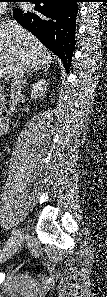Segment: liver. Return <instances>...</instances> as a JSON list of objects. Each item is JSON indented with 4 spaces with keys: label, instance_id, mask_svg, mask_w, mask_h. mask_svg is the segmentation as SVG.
Segmentation results:
<instances>
[{
    "label": "liver",
    "instance_id": "obj_1",
    "mask_svg": "<svg viewBox=\"0 0 107 297\" xmlns=\"http://www.w3.org/2000/svg\"><path fill=\"white\" fill-rule=\"evenodd\" d=\"M23 53L34 65L44 64L43 48L22 29L14 34H6L3 30L0 34V63L1 73L11 75L17 57Z\"/></svg>",
    "mask_w": 107,
    "mask_h": 297
}]
</instances>
